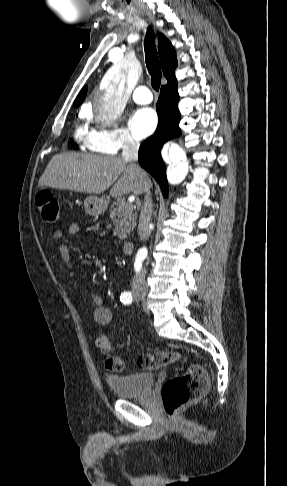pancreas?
Instances as JSON below:
<instances>
[{
    "label": "pancreas",
    "mask_w": 287,
    "mask_h": 486,
    "mask_svg": "<svg viewBox=\"0 0 287 486\" xmlns=\"http://www.w3.org/2000/svg\"><path fill=\"white\" fill-rule=\"evenodd\" d=\"M117 205V207H114ZM110 218L115 225L114 234L120 240L127 238V235L133 231L136 225L137 215L133 212V205L124 201L113 203L110 210Z\"/></svg>",
    "instance_id": "1"
}]
</instances>
